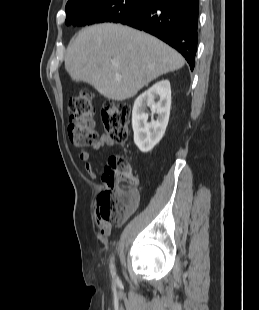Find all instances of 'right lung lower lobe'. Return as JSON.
I'll return each instance as SVG.
<instances>
[{
    "instance_id": "right-lung-lower-lobe-1",
    "label": "right lung lower lobe",
    "mask_w": 259,
    "mask_h": 310,
    "mask_svg": "<svg viewBox=\"0 0 259 310\" xmlns=\"http://www.w3.org/2000/svg\"><path fill=\"white\" fill-rule=\"evenodd\" d=\"M199 0H149L119 23L144 30L179 51L193 70L198 42Z\"/></svg>"
}]
</instances>
